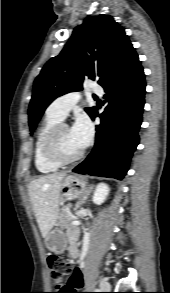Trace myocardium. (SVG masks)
<instances>
[{
    "label": "myocardium",
    "mask_w": 170,
    "mask_h": 293,
    "mask_svg": "<svg viewBox=\"0 0 170 293\" xmlns=\"http://www.w3.org/2000/svg\"><path fill=\"white\" fill-rule=\"evenodd\" d=\"M62 128H68V125L66 123L59 122L51 129L45 141L44 153L46 158L52 163L66 165L79 160L83 156L84 150L81 149L77 154L72 157H63L59 153L58 149V135Z\"/></svg>",
    "instance_id": "obj_1"
}]
</instances>
